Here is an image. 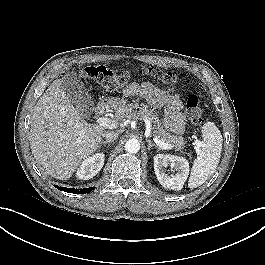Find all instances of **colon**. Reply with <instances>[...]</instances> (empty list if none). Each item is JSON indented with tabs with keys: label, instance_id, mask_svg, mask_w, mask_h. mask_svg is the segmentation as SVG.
<instances>
[{
	"label": "colon",
	"instance_id": "1",
	"mask_svg": "<svg viewBox=\"0 0 265 265\" xmlns=\"http://www.w3.org/2000/svg\"><path fill=\"white\" fill-rule=\"evenodd\" d=\"M80 76L89 80L110 93L123 92L131 79L135 76L151 79L160 83L169 90H173L183 76L172 72H165L152 67H140L134 70L126 69L120 72L113 71L104 65H87L80 70ZM204 108L198 97L190 95L186 101V114L193 125L202 122Z\"/></svg>",
	"mask_w": 265,
	"mask_h": 265
}]
</instances>
